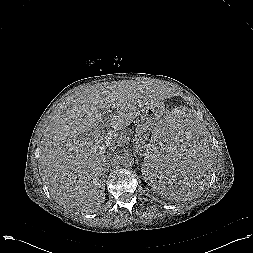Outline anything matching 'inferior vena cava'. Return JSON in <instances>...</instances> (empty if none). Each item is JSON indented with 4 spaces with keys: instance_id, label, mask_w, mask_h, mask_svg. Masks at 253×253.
Masks as SVG:
<instances>
[{
    "instance_id": "inferior-vena-cava-1",
    "label": "inferior vena cava",
    "mask_w": 253,
    "mask_h": 253,
    "mask_svg": "<svg viewBox=\"0 0 253 253\" xmlns=\"http://www.w3.org/2000/svg\"><path fill=\"white\" fill-rule=\"evenodd\" d=\"M116 150V146L115 145H111L109 147V151H107L106 153V158L105 159H108L110 157V155H112V153Z\"/></svg>"
}]
</instances>
